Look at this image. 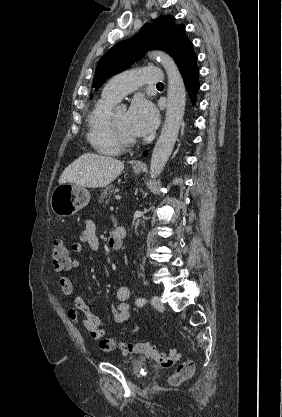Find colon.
<instances>
[{"label":"colon","instance_id":"5ec220e1","mask_svg":"<svg viewBox=\"0 0 282 417\" xmlns=\"http://www.w3.org/2000/svg\"><path fill=\"white\" fill-rule=\"evenodd\" d=\"M51 257L53 265L57 270H67L72 265V260L68 254L66 245L62 239H55L52 243ZM123 349L128 354H136L153 360L161 368L167 369L173 367L178 362V355L175 347L169 348V353L158 350L149 342H134L123 345ZM103 353H114L115 345L113 339H104L102 345ZM195 371L193 360H187L181 364L179 369L170 376L172 384L176 385L183 380L190 378Z\"/></svg>","mask_w":282,"mask_h":417}]
</instances>
